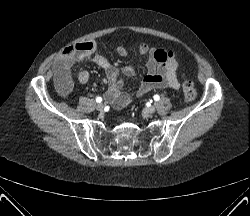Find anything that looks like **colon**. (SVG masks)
I'll use <instances>...</instances> for the list:
<instances>
[{"instance_id":"5ec220e1","label":"colon","mask_w":250,"mask_h":216,"mask_svg":"<svg viewBox=\"0 0 250 216\" xmlns=\"http://www.w3.org/2000/svg\"><path fill=\"white\" fill-rule=\"evenodd\" d=\"M72 52V48L67 51L66 54ZM183 83H182V94L183 98L186 102H191L196 98L197 92L194 83L183 76Z\"/></svg>"}]
</instances>
